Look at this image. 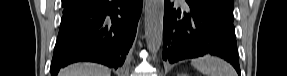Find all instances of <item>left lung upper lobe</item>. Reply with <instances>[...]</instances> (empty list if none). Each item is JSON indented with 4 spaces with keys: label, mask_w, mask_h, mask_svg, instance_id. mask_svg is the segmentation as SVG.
Listing matches in <instances>:
<instances>
[{
    "label": "left lung upper lobe",
    "mask_w": 287,
    "mask_h": 76,
    "mask_svg": "<svg viewBox=\"0 0 287 76\" xmlns=\"http://www.w3.org/2000/svg\"><path fill=\"white\" fill-rule=\"evenodd\" d=\"M233 22V0H192Z\"/></svg>",
    "instance_id": "obj_1"
}]
</instances>
